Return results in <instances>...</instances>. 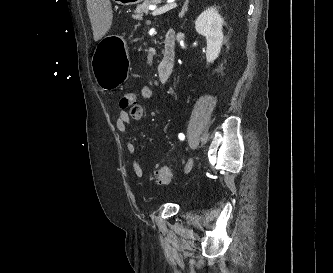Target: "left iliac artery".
<instances>
[{"instance_id":"44dca946","label":"left iliac artery","mask_w":333,"mask_h":273,"mask_svg":"<svg viewBox=\"0 0 333 273\" xmlns=\"http://www.w3.org/2000/svg\"><path fill=\"white\" fill-rule=\"evenodd\" d=\"M178 138L183 141L185 139V135L183 133H179Z\"/></svg>"}]
</instances>
